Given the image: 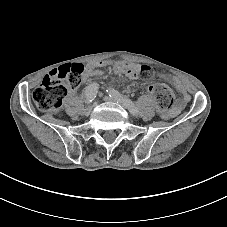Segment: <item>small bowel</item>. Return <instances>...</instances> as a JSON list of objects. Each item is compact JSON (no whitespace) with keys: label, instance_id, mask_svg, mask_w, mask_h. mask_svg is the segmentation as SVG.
<instances>
[{"label":"small bowel","instance_id":"1","mask_svg":"<svg viewBox=\"0 0 227 227\" xmlns=\"http://www.w3.org/2000/svg\"><path fill=\"white\" fill-rule=\"evenodd\" d=\"M112 65L114 72L117 75L124 76L127 79H138L140 77V68L141 65L136 63H130L126 61H99L90 63L86 67V77H102L103 71L100 69L102 66ZM165 78L172 81L177 91L182 95V102H180L173 110L170 112L171 115H175L180 110L183 102L189 100V96L186 93L182 83L176 79L171 78L169 76H165Z\"/></svg>","mask_w":227,"mask_h":227}]
</instances>
